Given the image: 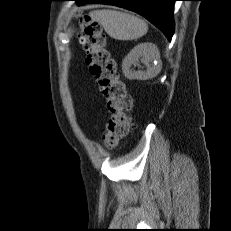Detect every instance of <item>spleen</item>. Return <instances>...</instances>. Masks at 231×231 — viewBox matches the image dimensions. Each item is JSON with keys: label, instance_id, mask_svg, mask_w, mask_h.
I'll return each mask as SVG.
<instances>
[{"label": "spleen", "instance_id": "3e777b00", "mask_svg": "<svg viewBox=\"0 0 231 231\" xmlns=\"http://www.w3.org/2000/svg\"><path fill=\"white\" fill-rule=\"evenodd\" d=\"M106 33L116 40H134L144 36L148 31L147 23L131 14L115 10H96L90 13Z\"/></svg>", "mask_w": 231, "mask_h": 231}]
</instances>
